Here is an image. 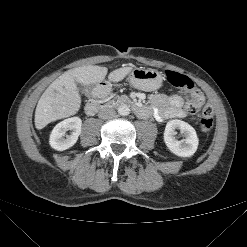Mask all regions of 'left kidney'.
<instances>
[{
	"label": "left kidney",
	"instance_id": "5707ae66",
	"mask_svg": "<svg viewBox=\"0 0 247 247\" xmlns=\"http://www.w3.org/2000/svg\"><path fill=\"white\" fill-rule=\"evenodd\" d=\"M176 129H179L184 139L176 138ZM164 142L167 148L179 157L192 156L198 147V137L195 129L188 123L182 120H171L166 124L164 131Z\"/></svg>",
	"mask_w": 247,
	"mask_h": 247
}]
</instances>
